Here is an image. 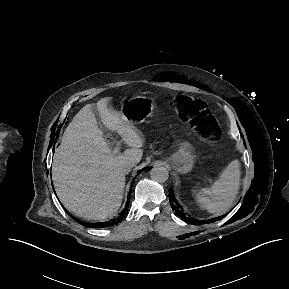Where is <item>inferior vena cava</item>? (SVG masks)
<instances>
[{"label":"inferior vena cava","instance_id":"obj_1","mask_svg":"<svg viewBox=\"0 0 289 289\" xmlns=\"http://www.w3.org/2000/svg\"><path fill=\"white\" fill-rule=\"evenodd\" d=\"M133 166H134L133 163L127 162V163L123 164V166H122V171H123L125 174H127V173L131 170V168H132Z\"/></svg>","mask_w":289,"mask_h":289}]
</instances>
